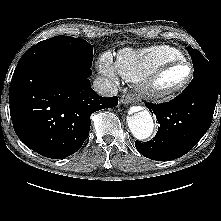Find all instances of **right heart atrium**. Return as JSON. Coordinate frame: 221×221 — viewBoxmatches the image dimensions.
<instances>
[{"mask_svg":"<svg viewBox=\"0 0 221 221\" xmlns=\"http://www.w3.org/2000/svg\"><path fill=\"white\" fill-rule=\"evenodd\" d=\"M99 72L104 76L116 80L117 70L109 54H103L98 62Z\"/></svg>","mask_w":221,"mask_h":221,"instance_id":"1","label":"right heart atrium"}]
</instances>
